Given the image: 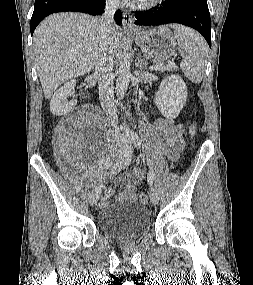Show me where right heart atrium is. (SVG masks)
Instances as JSON below:
<instances>
[{
	"mask_svg": "<svg viewBox=\"0 0 253 285\" xmlns=\"http://www.w3.org/2000/svg\"><path fill=\"white\" fill-rule=\"evenodd\" d=\"M108 1L112 4H116L118 2V0H108Z\"/></svg>",
	"mask_w": 253,
	"mask_h": 285,
	"instance_id": "obj_1",
	"label": "right heart atrium"
}]
</instances>
